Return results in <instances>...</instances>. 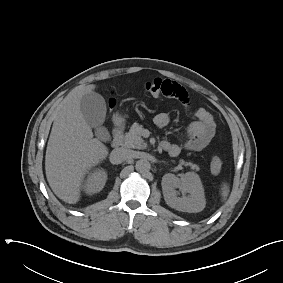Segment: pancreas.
Instances as JSON below:
<instances>
[{
    "label": "pancreas",
    "instance_id": "1",
    "mask_svg": "<svg viewBox=\"0 0 283 283\" xmlns=\"http://www.w3.org/2000/svg\"><path fill=\"white\" fill-rule=\"evenodd\" d=\"M143 131L142 125L134 123L129 132L123 138V146L127 148H135V149H145L147 147V143L144 142L141 137V133ZM182 165L190 166L193 170H199V166L193 163L180 161Z\"/></svg>",
    "mask_w": 283,
    "mask_h": 283
}]
</instances>
